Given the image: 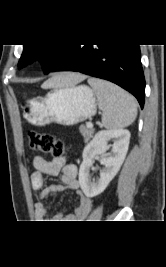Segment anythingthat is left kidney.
I'll return each instance as SVG.
<instances>
[{
	"label": "left kidney",
	"mask_w": 166,
	"mask_h": 267,
	"mask_svg": "<svg viewBox=\"0 0 166 267\" xmlns=\"http://www.w3.org/2000/svg\"><path fill=\"white\" fill-rule=\"evenodd\" d=\"M113 140V149L105 154L109 148L108 142ZM130 132L126 129H110L99 131L83 150V162L79 169V184L87 197H95L102 193L110 181L118 173L128 151ZM100 155V163L104 166L100 177L91 180L89 171L93 166L94 157Z\"/></svg>",
	"instance_id": "1"
}]
</instances>
